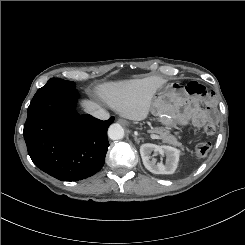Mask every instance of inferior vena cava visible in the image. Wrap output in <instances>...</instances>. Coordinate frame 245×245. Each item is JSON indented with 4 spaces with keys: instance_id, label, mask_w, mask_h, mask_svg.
<instances>
[{
    "instance_id": "inferior-vena-cava-1",
    "label": "inferior vena cava",
    "mask_w": 245,
    "mask_h": 245,
    "mask_svg": "<svg viewBox=\"0 0 245 245\" xmlns=\"http://www.w3.org/2000/svg\"><path fill=\"white\" fill-rule=\"evenodd\" d=\"M90 114L98 119H101V120H108L110 115L109 113L103 109V108H96L95 110L91 111Z\"/></svg>"
}]
</instances>
